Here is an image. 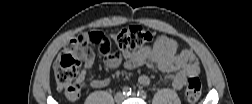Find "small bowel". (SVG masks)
<instances>
[{
	"mask_svg": "<svg viewBox=\"0 0 252 104\" xmlns=\"http://www.w3.org/2000/svg\"><path fill=\"white\" fill-rule=\"evenodd\" d=\"M104 64L110 69L120 66L126 69H135L146 65L154 72H163L168 75L166 81H171L175 89H181L185 86L187 79L198 75L200 68L196 62L195 55L190 50L179 52L178 43L167 36H159L150 46L143 47L137 51H123L120 54L108 56ZM94 58L85 60V69L90 70L94 67ZM141 86H148L151 80L148 76L142 75L138 78ZM109 84V79H93L89 83L84 81L82 75L81 88L88 85L93 88H103ZM70 101H77L80 94L75 98H69Z\"/></svg>",
	"mask_w": 252,
	"mask_h": 104,
	"instance_id": "c3829d8e",
	"label": "small bowel"
}]
</instances>
